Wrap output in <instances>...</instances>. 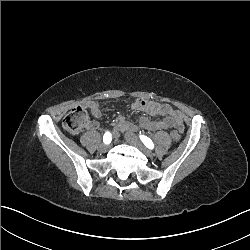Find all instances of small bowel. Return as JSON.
Returning <instances> with one entry per match:
<instances>
[{"instance_id":"c3829d8e","label":"small bowel","mask_w":250,"mask_h":250,"mask_svg":"<svg viewBox=\"0 0 250 250\" xmlns=\"http://www.w3.org/2000/svg\"><path fill=\"white\" fill-rule=\"evenodd\" d=\"M83 107L88 109L95 117H99L101 115L100 106L95 101H88ZM132 108L136 111L146 112L149 115H159L163 117L160 120H150L145 117L140 118L139 125L144 129L150 131L168 130L173 125H178L181 128V133L183 132L184 125L182 115L178 110L174 109L169 104L138 99L133 103ZM98 126L99 124L97 121H91L87 124V128L90 130H95L98 128ZM119 129H122L128 133H132L136 131L137 127L133 123L129 122L123 115H120L118 116L113 127V132L115 133Z\"/></svg>"}]
</instances>
